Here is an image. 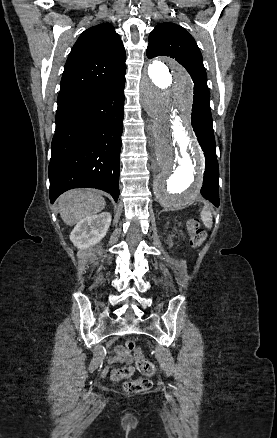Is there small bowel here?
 Masks as SVG:
<instances>
[{"instance_id": "c3829d8e", "label": "small bowel", "mask_w": 277, "mask_h": 438, "mask_svg": "<svg viewBox=\"0 0 277 438\" xmlns=\"http://www.w3.org/2000/svg\"><path fill=\"white\" fill-rule=\"evenodd\" d=\"M115 352L116 354L109 360V364L111 366L118 364L120 368H112L110 377L113 380H119L124 376L131 375L134 372V367L132 365V358L124 347L118 346Z\"/></svg>"}]
</instances>
